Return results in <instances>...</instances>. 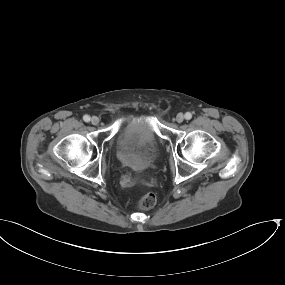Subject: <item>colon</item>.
Listing matches in <instances>:
<instances>
[{
    "instance_id": "5ec220e1",
    "label": "colon",
    "mask_w": 285,
    "mask_h": 285,
    "mask_svg": "<svg viewBox=\"0 0 285 285\" xmlns=\"http://www.w3.org/2000/svg\"><path fill=\"white\" fill-rule=\"evenodd\" d=\"M157 201L156 195L152 192H146L139 200L138 206L141 209L148 210L155 206Z\"/></svg>"
}]
</instances>
